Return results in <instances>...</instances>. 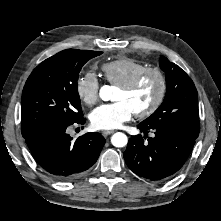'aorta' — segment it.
<instances>
[{
    "instance_id": "obj_1",
    "label": "aorta",
    "mask_w": 221,
    "mask_h": 221,
    "mask_svg": "<svg viewBox=\"0 0 221 221\" xmlns=\"http://www.w3.org/2000/svg\"><path fill=\"white\" fill-rule=\"evenodd\" d=\"M100 98L103 101H108L111 99L112 96V89L108 85H104L101 87L99 92ZM128 142L127 136L122 132H117L112 135L111 137V143L115 147H124Z\"/></svg>"
}]
</instances>
